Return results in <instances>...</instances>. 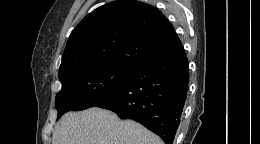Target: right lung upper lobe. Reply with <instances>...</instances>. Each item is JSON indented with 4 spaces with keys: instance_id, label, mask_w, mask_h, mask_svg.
<instances>
[{
    "instance_id": "1",
    "label": "right lung upper lobe",
    "mask_w": 260,
    "mask_h": 144,
    "mask_svg": "<svg viewBox=\"0 0 260 144\" xmlns=\"http://www.w3.org/2000/svg\"><path fill=\"white\" fill-rule=\"evenodd\" d=\"M180 46L173 26L157 8L135 0L113 1L73 29L58 75L104 64L134 68Z\"/></svg>"
}]
</instances>
